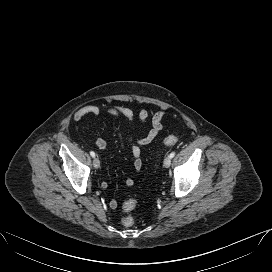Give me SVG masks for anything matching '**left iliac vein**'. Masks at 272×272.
<instances>
[{
  "label": "left iliac vein",
  "instance_id": "1",
  "mask_svg": "<svg viewBox=\"0 0 272 272\" xmlns=\"http://www.w3.org/2000/svg\"><path fill=\"white\" fill-rule=\"evenodd\" d=\"M163 164H164V166L166 168L170 167V165H171V158L169 156L165 157Z\"/></svg>",
  "mask_w": 272,
  "mask_h": 272
}]
</instances>
